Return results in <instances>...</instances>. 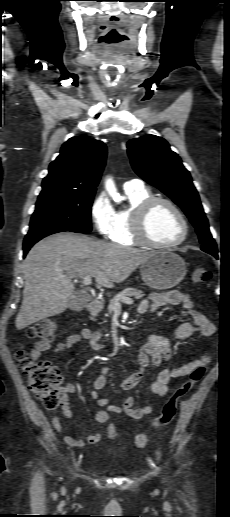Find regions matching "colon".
<instances>
[{
  "mask_svg": "<svg viewBox=\"0 0 230 517\" xmlns=\"http://www.w3.org/2000/svg\"><path fill=\"white\" fill-rule=\"evenodd\" d=\"M210 276V272L205 267L196 266L191 273V280L194 284H206L210 280ZM56 333L55 323L48 319L32 323L26 330L29 338H36L46 342L53 340ZM16 359L35 397L46 408H56L63 393L61 386L62 377L58 368L51 362L40 360L23 349L17 351ZM205 373V366H198L190 373L188 379L171 394L160 414L153 419L152 427L154 429L162 428L173 420L179 400L203 378ZM109 436L111 438L115 436L113 427L109 428ZM147 441L148 436L146 433H139L135 437V445L140 449L146 446Z\"/></svg>",
  "mask_w": 230,
  "mask_h": 517,
  "instance_id": "1",
  "label": "colon"
}]
</instances>
